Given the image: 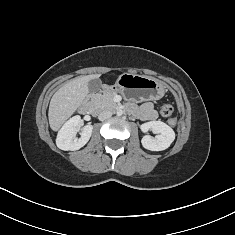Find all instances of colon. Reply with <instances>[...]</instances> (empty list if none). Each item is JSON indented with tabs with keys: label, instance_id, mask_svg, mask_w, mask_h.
Returning <instances> with one entry per match:
<instances>
[{
	"label": "colon",
	"instance_id": "5ec220e1",
	"mask_svg": "<svg viewBox=\"0 0 235 235\" xmlns=\"http://www.w3.org/2000/svg\"><path fill=\"white\" fill-rule=\"evenodd\" d=\"M160 113L164 117H170L172 115V113H173V106L171 104H169V103H165L161 107ZM170 124L174 126L176 124V120L175 119H171L170 120Z\"/></svg>",
	"mask_w": 235,
	"mask_h": 235
}]
</instances>
